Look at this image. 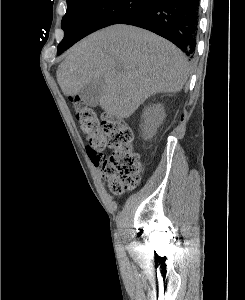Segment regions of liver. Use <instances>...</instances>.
<instances>
[{"mask_svg": "<svg viewBox=\"0 0 245 300\" xmlns=\"http://www.w3.org/2000/svg\"><path fill=\"white\" fill-rule=\"evenodd\" d=\"M189 76L186 56L171 42L141 28L116 24L70 48L57 70L64 95L75 97L102 79L99 105L118 118L130 117L149 97L182 90Z\"/></svg>", "mask_w": 245, "mask_h": 300, "instance_id": "obj_1", "label": "liver"}]
</instances>
